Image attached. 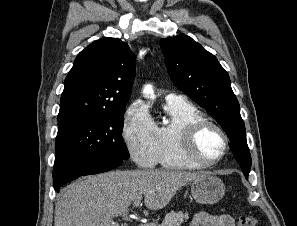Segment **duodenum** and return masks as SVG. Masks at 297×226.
I'll use <instances>...</instances> for the list:
<instances>
[{
    "label": "duodenum",
    "mask_w": 297,
    "mask_h": 226,
    "mask_svg": "<svg viewBox=\"0 0 297 226\" xmlns=\"http://www.w3.org/2000/svg\"><path fill=\"white\" fill-rule=\"evenodd\" d=\"M138 226H150L148 223H141Z\"/></svg>",
    "instance_id": "1"
}]
</instances>
